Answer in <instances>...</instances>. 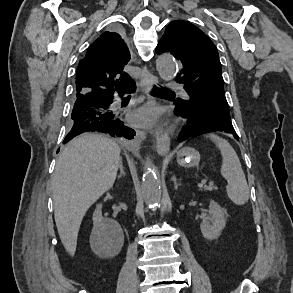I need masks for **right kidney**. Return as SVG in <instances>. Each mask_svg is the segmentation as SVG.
Here are the masks:
<instances>
[{
  "mask_svg": "<svg viewBox=\"0 0 293 293\" xmlns=\"http://www.w3.org/2000/svg\"><path fill=\"white\" fill-rule=\"evenodd\" d=\"M102 205L98 204L93 213L94 233L102 235V245L118 253L123 246L124 236L119 225L102 217Z\"/></svg>",
  "mask_w": 293,
  "mask_h": 293,
  "instance_id": "obj_1",
  "label": "right kidney"
}]
</instances>
